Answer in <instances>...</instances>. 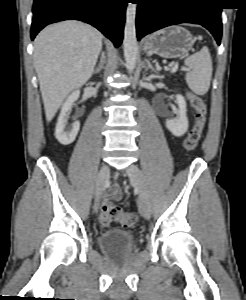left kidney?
I'll use <instances>...</instances> for the list:
<instances>
[{
	"label": "left kidney",
	"instance_id": "obj_1",
	"mask_svg": "<svg viewBox=\"0 0 246 300\" xmlns=\"http://www.w3.org/2000/svg\"><path fill=\"white\" fill-rule=\"evenodd\" d=\"M176 100L179 107L178 117L176 119L167 120L166 127L174 136L181 137L187 132L189 127L186 114V101L180 94L176 96Z\"/></svg>",
	"mask_w": 246,
	"mask_h": 300
}]
</instances>
